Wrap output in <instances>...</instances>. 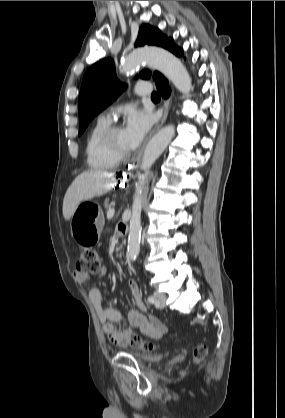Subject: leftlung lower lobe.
Instances as JSON below:
<instances>
[{
  "label": "left lung lower lobe",
  "mask_w": 285,
  "mask_h": 418,
  "mask_svg": "<svg viewBox=\"0 0 285 418\" xmlns=\"http://www.w3.org/2000/svg\"><path fill=\"white\" fill-rule=\"evenodd\" d=\"M169 51H171L177 56L182 53V49L176 46L174 43L170 46ZM155 82L157 89L161 93L162 97L168 98L170 95V88L168 85V81L165 79V77L163 75H159Z\"/></svg>",
  "instance_id": "left-lung-lower-lobe-1"
}]
</instances>
